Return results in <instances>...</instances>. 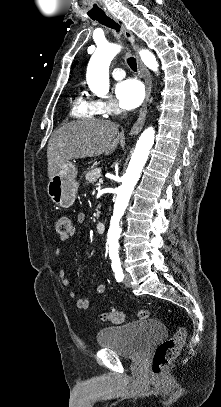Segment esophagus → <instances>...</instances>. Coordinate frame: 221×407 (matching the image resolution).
<instances>
[{
    "label": "esophagus",
    "mask_w": 221,
    "mask_h": 407,
    "mask_svg": "<svg viewBox=\"0 0 221 407\" xmlns=\"http://www.w3.org/2000/svg\"><path fill=\"white\" fill-rule=\"evenodd\" d=\"M106 14L112 18L116 23H118V25L120 26L122 33L124 34V36L130 41V43H134V36L133 34L126 28L125 24L117 19L115 17V15L109 11H106ZM135 56L137 59V63H138V67L139 70L142 74V76L145 79V83H146V97L144 100V103L140 109L139 112V116L136 120V122L134 123V125L132 126L131 130H130V134L131 135H135L138 132L141 131V129L143 128L144 122H145V117H146V113H147V106H148V102H149V98L151 95V89H152V80H151V76L149 71L143 66L141 60L139 59V56L137 54V52H135Z\"/></svg>",
    "instance_id": "esophagus-1"
}]
</instances>
